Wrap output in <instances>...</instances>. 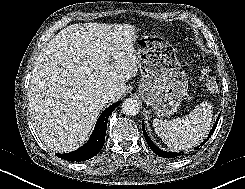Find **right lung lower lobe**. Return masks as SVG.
Returning a JSON list of instances; mask_svg holds the SVG:
<instances>
[{
  "mask_svg": "<svg viewBox=\"0 0 245 189\" xmlns=\"http://www.w3.org/2000/svg\"><path fill=\"white\" fill-rule=\"evenodd\" d=\"M119 104L120 102L112 104L101 113L94 131L85 145L70 153H57L56 156L67 161H85L97 155L105 142L108 117Z\"/></svg>",
  "mask_w": 245,
  "mask_h": 189,
  "instance_id": "obj_1",
  "label": "right lung lower lobe"
}]
</instances>
